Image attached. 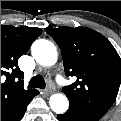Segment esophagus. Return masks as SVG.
<instances>
[{
  "instance_id": "34e87169",
  "label": "esophagus",
  "mask_w": 121,
  "mask_h": 121,
  "mask_svg": "<svg viewBox=\"0 0 121 121\" xmlns=\"http://www.w3.org/2000/svg\"><path fill=\"white\" fill-rule=\"evenodd\" d=\"M44 93H45L46 95H49V94H51V90H50V89H46Z\"/></svg>"
}]
</instances>
